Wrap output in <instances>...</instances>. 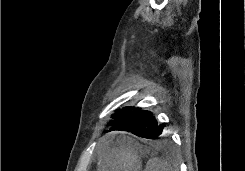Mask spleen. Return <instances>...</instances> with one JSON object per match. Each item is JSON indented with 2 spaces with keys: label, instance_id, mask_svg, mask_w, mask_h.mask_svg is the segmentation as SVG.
<instances>
[{
  "label": "spleen",
  "instance_id": "spleen-1",
  "mask_svg": "<svg viewBox=\"0 0 245 171\" xmlns=\"http://www.w3.org/2000/svg\"><path fill=\"white\" fill-rule=\"evenodd\" d=\"M144 171H173L171 165L162 158H152L147 161Z\"/></svg>",
  "mask_w": 245,
  "mask_h": 171
}]
</instances>
